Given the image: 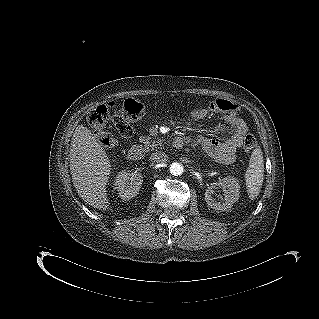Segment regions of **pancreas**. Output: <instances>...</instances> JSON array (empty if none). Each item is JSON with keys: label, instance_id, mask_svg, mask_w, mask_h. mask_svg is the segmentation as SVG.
Wrapping results in <instances>:
<instances>
[{"label": "pancreas", "instance_id": "1", "mask_svg": "<svg viewBox=\"0 0 319 319\" xmlns=\"http://www.w3.org/2000/svg\"><path fill=\"white\" fill-rule=\"evenodd\" d=\"M140 142L144 143L145 144V147H149V138L147 137H144V136H141L140 137ZM152 147V146H151Z\"/></svg>", "mask_w": 319, "mask_h": 319}]
</instances>
